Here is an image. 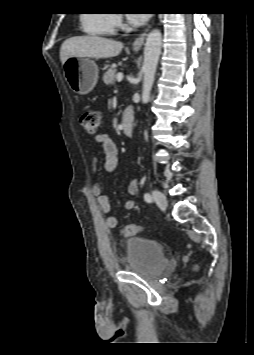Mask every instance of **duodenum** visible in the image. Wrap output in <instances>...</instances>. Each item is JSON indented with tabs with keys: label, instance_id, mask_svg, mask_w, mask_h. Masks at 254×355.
I'll use <instances>...</instances> for the list:
<instances>
[{
	"label": "duodenum",
	"instance_id": "1",
	"mask_svg": "<svg viewBox=\"0 0 254 355\" xmlns=\"http://www.w3.org/2000/svg\"><path fill=\"white\" fill-rule=\"evenodd\" d=\"M129 108L125 110L122 117V131L127 136H131L134 129L133 110L131 111Z\"/></svg>",
	"mask_w": 254,
	"mask_h": 355
}]
</instances>
